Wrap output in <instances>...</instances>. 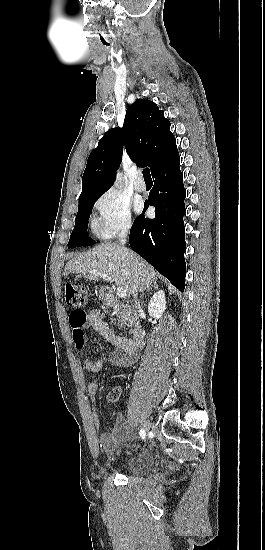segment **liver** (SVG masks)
Wrapping results in <instances>:
<instances>
[{"mask_svg":"<svg viewBox=\"0 0 265 550\" xmlns=\"http://www.w3.org/2000/svg\"><path fill=\"white\" fill-rule=\"evenodd\" d=\"M93 271L111 276L128 296L133 294L135 285L143 292L157 280L156 271L149 263L116 243H103L76 255L67 262L64 275L76 273L98 281L100 277L91 274Z\"/></svg>","mask_w":265,"mask_h":550,"instance_id":"6515ba94","label":"liver"}]
</instances>
